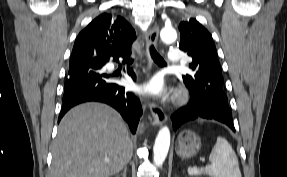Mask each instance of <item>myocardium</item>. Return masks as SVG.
I'll use <instances>...</instances> for the list:
<instances>
[{
	"label": "myocardium",
	"instance_id": "myocardium-1",
	"mask_svg": "<svg viewBox=\"0 0 287 177\" xmlns=\"http://www.w3.org/2000/svg\"><path fill=\"white\" fill-rule=\"evenodd\" d=\"M178 99H179V101H183V100H185V97L180 95V96L178 97Z\"/></svg>",
	"mask_w": 287,
	"mask_h": 177
}]
</instances>
